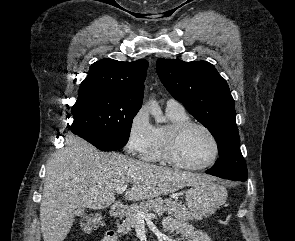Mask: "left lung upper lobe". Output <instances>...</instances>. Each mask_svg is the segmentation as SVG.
Instances as JSON below:
<instances>
[{
    "instance_id": "left-lung-upper-lobe-1",
    "label": "left lung upper lobe",
    "mask_w": 295,
    "mask_h": 241,
    "mask_svg": "<svg viewBox=\"0 0 295 241\" xmlns=\"http://www.w3.org/2000/svg\"><path fill=\"white\" fill-rule=\"evenodd\" d=\"M157 72L171 95L214 136L220 158L208 169L226 179L246 181L239 148L235 102L227 82L207 61L158 59Z\"/></svg>"
}]
</instances>
